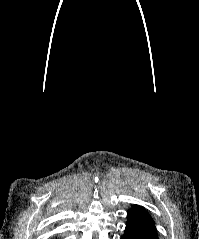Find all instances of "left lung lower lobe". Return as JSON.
I'll use <instances>...</instances> for the list:
<instances>
[{
	"instance_id": "left-lung-lower-lobe-1",
	"label": "left lung lower lobe",
	"mask_w": 199,
	"mask_h": 239,
	"mask_svg": "<svg viewBox=\"0 0 199 239\" xmlns=\"http://www.w3.org/2000/svg\"><path fill=\"white\" fill-rule=\"evenodd\" d=\"M121 239H158L155 222L146 214L130 209Z\"/></svg>"
}]
</instances>
